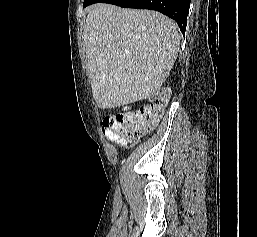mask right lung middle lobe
<instances>
[{
	"label": "right lung middle lobe",
	"instance_id": "right-lung-middle-lobe-1",
	"mask_svg": "<svg viewBox=\"0 0 257 237\" xmlns=\"http://www.w3.org/2000/svg\"><path fill=\"white\" fill-rule=\"evenodd\" d=\"M103 1L104 0H84L83 7H86V6L91 5L93 3L103 2Z\"/></svg>",
	"mask_w": 257,
	"mask_h": 237
}]
</instances>
